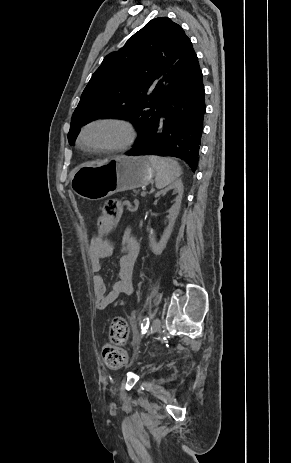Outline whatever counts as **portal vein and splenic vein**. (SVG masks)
Segmentation results:
<instances>
[{"label": "portal vein and splenic vein", "instance_id": "obj_1", "mask_svg": "<svg viewBox=\"0 0 291 463\" xmlns=\"http://www.w3.org/2000/svg\"><path fill=\"white\" fill-rule=\"evenodd\" d=\"M141 196H142V197H145V196H146V192H145V191L141 192Z\"/></svg>", "mask_w": 291, "mask_h": 463}]
</instances>
